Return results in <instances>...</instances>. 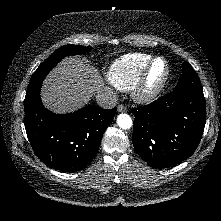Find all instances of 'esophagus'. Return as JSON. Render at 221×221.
<instances>
[{
  "instance_id": "34e87169",
  "label": "esophagus",
  "mask_w": 221,
  "mask_h": 221,
  "mask_svg": "<svg viewBox=\"0 0 221 221\" xmlns=\"http://www.w3.org/2000/svg\"><path fill=\"white\" fill-rule=\"evenodd\" d=\"M117 111L118 112H126L127 111V108L124 106V105H119L117 107Z\"/></svg>"
}]
</instances>
